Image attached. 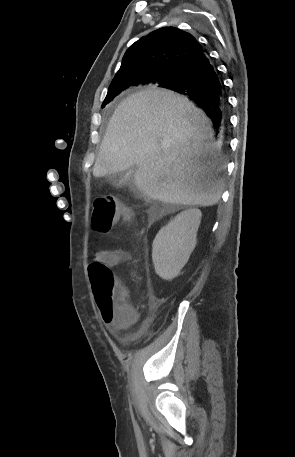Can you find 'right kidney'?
<instances>
[{
  "label": "right kidney",
  "instance_id": "obj_1",
  "mask_svg": "<svg viewBox=\"0 0 295 457\" xmlns=\"http://www.w3.org/2000/svg\"><path fill=\"white\" fill-rule=\"evenodd\" d=\"M201 216L198 209L185 210L156 235L152 245V260L161 278H175L187 263L196 245Z\"/></svg>",
  "mask_w": 295,
  "mask_h": 457
}]
</instances>
